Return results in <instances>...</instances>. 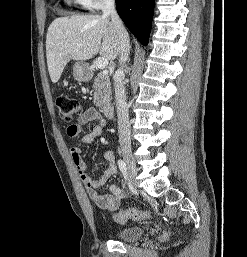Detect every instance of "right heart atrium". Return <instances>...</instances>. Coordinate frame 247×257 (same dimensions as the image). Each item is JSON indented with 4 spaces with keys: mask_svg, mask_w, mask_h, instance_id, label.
Returning a JSON list of instances; mask_svg holds the SVG:
<instances>
[{
    "mask_svg": "<svg viewBox=\"0 0 247 257\" xmlns=\"http://www.w3.org/2000/svg\"><path fill=\"white\" fill-rule=\"evenodd\" d=\"M107 1L108 0H78L81 6L90 11L99 9Z\"/></svg>",
    "mask_w": 247,
    "mask_h": 257,
    "instance_id": "d8ad5b80",
    "label": "right heart atrium"
}]
</instances>
